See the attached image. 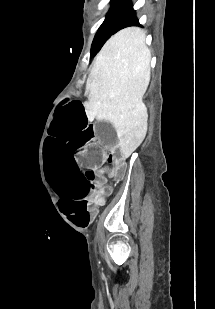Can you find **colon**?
<instances>
[{
	"mask_svg": "<svg viewBox=\"0 0 215 309\" xmlns=\"http://www.w3.org/2000/svg\"><path fill=\"white\" fill-rule=\"evenodd\" d=\"M100 153H101V155L103 156V157H105V159H106V161L107 162H114L117 158L116 157H114L111 153H106V154H104L103 152H102V150H100ZM118 164V163H117ZM118 168H120V166H118Z\"/></svg>",
	"mask_w": 215,
	"mask_h": 309,
	"instance_id": "5ec220e1",
	"label": "colon"
}]
</instances>
